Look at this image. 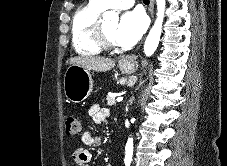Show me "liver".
I'll use <instances>...</instances> for the list:
<instances>
[{
	"instance_id": "1",
	"label": "liver",
	"mask_w": 227,
	"mask_h": 166,
	"mask_svg": "<svg viewBox=\"0 0 227 166\" xmlns=\"http://www.w3.org/2000/svg\"><path fill=\"white\" fill-rule=\"evenodd\" d=\"M70 65H77L88 71L105 72L115 66V61L96 56H77L70 59Z\"/></svg>"
}]
</instances>
